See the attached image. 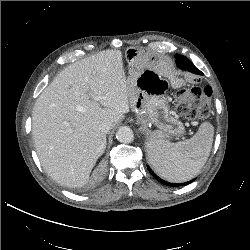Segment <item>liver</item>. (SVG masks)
Wrapping results in <instances>:
<instances>
[{
  "label": "liver",
  "mask_w": 250,
  "mask_h": 250,
  "mask_svg": "<svg viewBox=\"0 0 250 250\" xmlns=\"http://www.w3.org/2000/svg\"><path fill=\"white\" fill-rule=\"evenodd\" d=\"M128 112L120 50L66 67L39 95L32 113L34 145L46 173L63 186H84L107 144L99 125L113 128Z\"/></svg>",
  "instance_id": "6515ba94"
}]
</instances>
